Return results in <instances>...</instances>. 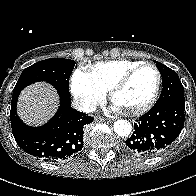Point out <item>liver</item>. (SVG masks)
Listing matches in <instances>:
<instances>
[{
  "mask_svg": "<svg viewBox=\"0 0 196 196\" xmlns=\"http://www.w3.org/2000/svg\"><path fill=\"white\" fill-rule=\"evenodd\" d=\"M59 98L47 83H35L25 88L18 100V115L29 125H42L56 112Z\"/></svg>",
  "mask_w": 196,
  "mask_h": 196,
  "instance_id": "1",
  "label": "liver"
}]
</instances>
